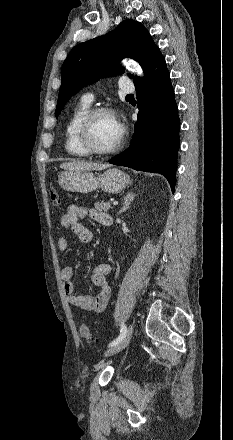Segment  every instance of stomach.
Wrapping results in <instances>:
<instances>
[{
	"label": "stomach",
	"mask_w": 233,
	"mask_h": 440,
	"mask_svg": "<svg viewBox=\"0 0 233 440\" xmlns=\"http://www.w3.org/2000/svg\"><path fill=\"white\" fill-rule=\"evenodd\" d=\"M130 183V177L117 168H110L103 174L89 171H65L58 176V184L67 191L89 193L102 189L104 192L116 194Z\"/></svg>",
	"instance_id": "1"
}]
</instances>
